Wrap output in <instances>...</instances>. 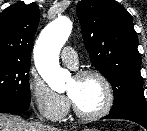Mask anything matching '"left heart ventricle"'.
<instances>
[{
  "label": "left heart ventricle",
  "mask_w": 147,
  "mask_h": 131,
  "mask_svg": "<svg viewBox=\"0 0 147 131\" xmlns=\"http://www.w3.org/2000/svg\"><path fill=\"white\" fill-rule=\"evenodd\" d=\"M67 93L75 102L78 109L84 113H94L102 108L105 102V90L102 83L94 77L73 78Z\"/></svg>",
  "instance_id": "left-heart-ventricle-1"
}]
</instances>
